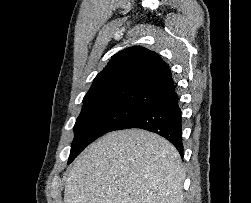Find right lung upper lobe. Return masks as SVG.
Listing matches in <instances>:
<instances>
[{
  "mask_svg": "<svg viewBox=\"0 0 251 203\" xmlns=\"http://www.w3.org/2000/svg\"><path fill=\"white\" fill-rule=\"evenodd\" d=\"M175 93L168 65L153 51L133 46L114 55L95 77L84 106L122 104L141 109Z\"/></svg>",
  "mask_w": 251,
  "mask_h": 203,
  "instance_id": "right-lung-upper-lobe-1",
  "label": "right lung upper lobe"
}]
</instances>
